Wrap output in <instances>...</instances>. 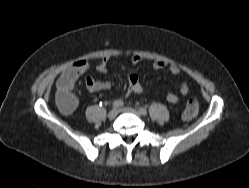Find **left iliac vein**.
Returning <instances> with one entry per match:
<instances>
[{"instance_id": "obj_1", "label": "left iliac vein", "mask_w": 249, "mask_h": 188, "mask_svg": "<svg viewBox=\"0 0 249 188\" xmlns=\"http://www.w3.org/2000/svg\"><path fill=\"white\" fill-rule=\"evenodd\" d=\"M121 112H124V113H131V114H134V115H137V116H141L142 114L140 112H138L136 109L134 108H131V107H122L120 109Z\"/></svg>"}]
</instances>
